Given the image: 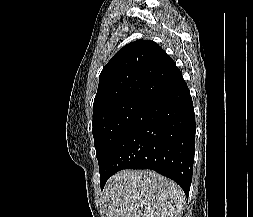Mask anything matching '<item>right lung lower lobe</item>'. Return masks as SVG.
Instances as JSON below:
<instances>
[{
  "instance_id": "obj_1",
  "label": "right lung lower lobe",
  "mask_w": 253,
  "mask_h": 217,
  "mask_svg": "<svg viewBox=\"0 0 253 217\" xmlns=\"http://www.w3.org/2000/svg\"><path fill=\"white\" fill-rule=\"evenodd\" d=\"M195 151L192 98L182 75L151 99L122 133L101 176L103 189L121 169H151L177 182L188 196Z\"/></svg>"
}]
</instances>
